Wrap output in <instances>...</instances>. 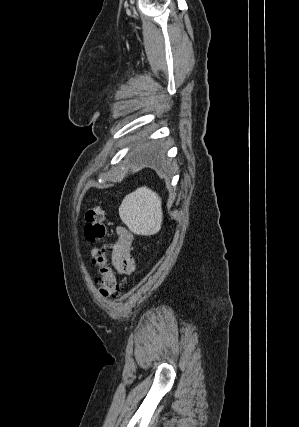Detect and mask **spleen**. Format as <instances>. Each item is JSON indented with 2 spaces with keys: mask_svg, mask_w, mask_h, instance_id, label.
Returning <instances> with one entry per match:
<instances>
[{
  "mask_svg": "<svg viewBox=\"0 0 299 427\" xmlns=\"http://www.w3.org/2000/svg\"><path fill=\"white\" fill-rule=\"evenodd\" d=\"M119 215L134 234L154 235L161 229L163 220L161 198L146 186L140 187L123 199Z\"/></svg>",
  "mask_w": 299,
  "mask_h": 427,
  "instance_id": "obj_1",
  "label": "spleen"
}]
</instances>
